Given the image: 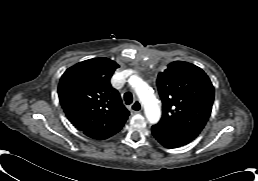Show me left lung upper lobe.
Returning <instances> with one entry per match:
<instances>
[{
    "label": "left lung upper lobe",
    "instance_id": "5c2ea615",
    "mask_svg": "<svg viewBox=\"0 0 258 181\" xmlns=\"http://www.w3.org/2000/svg\"><path fill=\"white\" fill-rule=\"evenodd\" d=\"M157 86L163 104L159 125L198 136L214 100V88L205 72L193 64L175 61L159 73Z\"/></svg>",
    "mask_w": 258,
    "mask_h": 181
}]
</instances>
